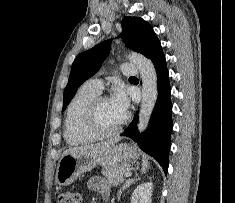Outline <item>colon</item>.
Wrapping results in <instances>:
<instances>
[{
	"label": "colon",
	"instance_id": "5ec220e1",
	"mask_svg": "<svg viewBox=\"0 0 235 203\" xmlns=\"http://www.w3.org/2000/svg\"><path fill=\"white\" fill-rule=\"evenodd\" d=\"M58 203H81V197L77 192L65 191L59 195Z\"/></svg>",
	"mask_w": 235,
	"mask_h": 203
}]
</instances>
